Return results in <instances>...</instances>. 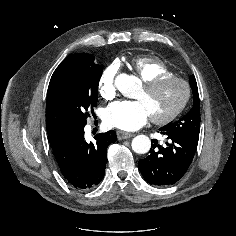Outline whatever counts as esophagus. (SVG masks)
Wrapping results in <instances>:
<instances>
[{
  "instance_id": "1",
  "label": "esophagus",
  "mask_w": 236,
  "mask_h": 236,
  "mask_svg": "<svg viewBox=\"0 0 236 236\" xmlns=\"http://www.w3.org/2000/svg\"><path fill=\"white\" fill-rule=\"evenodd\" d=\"M132 136H133L132 133L125 132V131H120V130L117 131V137H118L119 140L128 139Z\"/></svg>"
}]
</instances>
